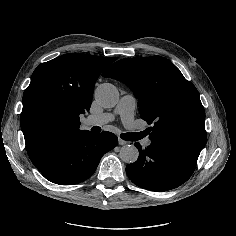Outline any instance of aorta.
<instances>
[{"label":"aorta","mask_w":236,"mask_h":236,"mask_svg":"<svg viewBox=\"0 0 236 236\" xmlns=\"http://www.w3.org/2000/svg\"><path fill=\"white\" fill-rule=\"evenodd\" d=\"M95 98L100 105L105 108H110L118 103L119 92L114 85L104 83L97 87L95 91ZM119 156L125 163H134L138 159L139 152L134 145H124L120 149Z\"/></svg>","instance_id":"1"}]
</instances>
